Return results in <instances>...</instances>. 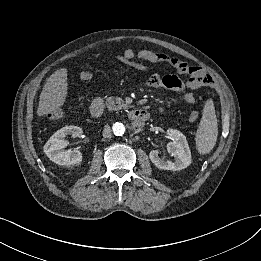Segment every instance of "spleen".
<instances>
[{"label":"spleen","instance_id":"spleen-1","mask_svg":"<svg viewBox=\"0 0 261 261\" xmlns=\"http://www.w3.org/2000/svg\"><path fill=\"white\" fill-rule=\"evenodd\" d=\"M218 136V123L212 99L204 105L202 118L196 133V147L200 154H208L215 146Z\"/></svg>","mask_w":261,"mask_h":261}]
</instances>
